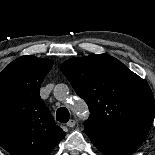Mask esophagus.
Here are the masks:
<instances>
[{"mask_svg":"<svg viewBox=\"0 0 155 155\" xmlns=\"http://www.w3.org/2000/svg\"><path fill=\"white\" fill-rule=\"evenodd\" d=\"M66 125L70 128L74 127L76 125V121L74 119H70Z\"/></svg>","mask_w":155,"mask_h":155,"instance_id":"obj_1","label":"esophagus"}]
</instances>
